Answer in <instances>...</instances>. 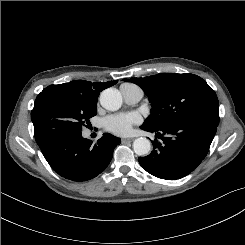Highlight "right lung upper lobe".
<instances>
[{"instance_id":"obj_1","label":"right lung upper lobe","mask_w":245,"mask_h":245,"mask_svg":"<svg viewBox=\"0 0 245 245\" xmlns=\"http://www.w3.org/2000/svg\"><path fill=\"white\" fill-rule=\"evenodd\" d=\"M117 83V80L108 81L106 83L89 82L85 80H76L69 83L60 84L61 86L80 94L88 99L97 100L100 92Z\"/></svg>"}]
</instances>
